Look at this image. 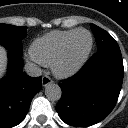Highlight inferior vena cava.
I'll return each instance as SVG.
<instances>
[{"label": "inferior vena cava", "mask_w": 128, "mask_h": 128, "mask_svg": "<svg viewBox=\"0 0 128 128\" xmlns=\"http://www.w3.org/2000/svg\"><path fill=\"white\" fill-rule=\"evenodd\" d=\"M25 72L31 77H39L42 75V70L34 63H26L24 66Z\"/></svg>", "instance_id": "inferior-vena-cava-1"}]
</instances>
